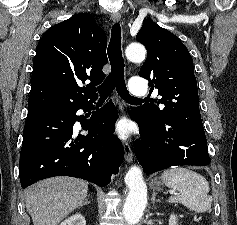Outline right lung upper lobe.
I'll list each match as a JSON object with an SVG mask.
<instances>
[{
	"mask_svg": "<svg viewBox=\"0 0 237 225\" xmlns=\"http://www.w3.org/2000/svg\"><path fill=\"white\" fill-rule=\"evenodd\" d=\"M106 45L105 32L90 15L77 14L48 29L37 45L28 114L96 98L95 86L105 78Z\"/></svg>",
	"mask_w": 237,
	"mask_h": 225,
	"instance_id": "1",
	"label": "right lung upper lobe"
}]
</instances>
